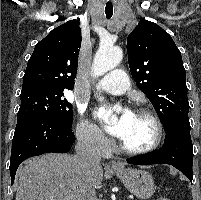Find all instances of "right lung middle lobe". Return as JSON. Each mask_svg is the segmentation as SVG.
Wrapping results in <instances>:
<instances>
[{"label": "right lung middle lobe", "instance_id": "1", "mask_svg": "<svg viewBox=\"0 0 201 200\" xmlns=\"http://www.w3.org/2000/svg\"><path fill=\"white\" fill-rule=\"evenodd\" d=\"M64 96V91L32 90L22 92L21 106L17 121L29 117H50L72 127V105Z\"/></svg>", "mask_w": 201, "mask_h": 200}]
</instances>
